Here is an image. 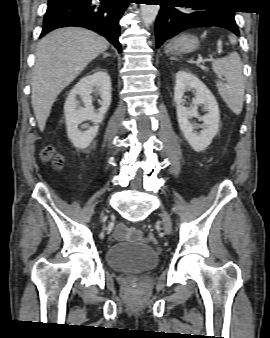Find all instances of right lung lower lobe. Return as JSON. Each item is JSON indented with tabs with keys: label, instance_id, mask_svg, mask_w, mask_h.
I'll return each mask as SVG.
<instances>
[{
	"label": "right lung lower lobe",
	"instance_id": "obj_1",
	"mask_svg": "<svg viewBox=\"0 0 270 338\" xmlns=\"http://www.w3.org/2000/svg\"><path fill=\"white\" fill-rule=\"evenodd\" d=\"M131 0H48L40 37L53 29L80 26L105 36L118 51V24Z\"/></svg>",
	"mask_w": 270,
	"mask_h": 338
}]
</instances>
